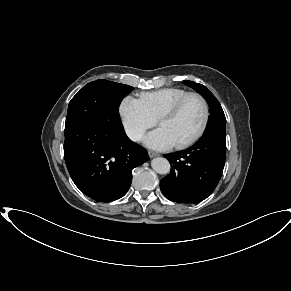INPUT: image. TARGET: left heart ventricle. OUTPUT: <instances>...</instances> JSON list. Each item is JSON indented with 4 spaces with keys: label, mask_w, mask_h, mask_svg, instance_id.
Returning a JSON list of instances; mask_svg holds the SVG:
<instances>
[{
    "label": "left heart ventricle",
    "mask_w": 291,
    "mask_h": 291,
    "mask_svg": "<svg viewBox=\"0 0 291 291\" xmlns=\"http://www.w3.org/2000/svg\"><path fill=\"white\" fill-rule=\"evenodd\" d=\"M204 118V106L197 97L189 98L179 113L171 119L160 122L159 128L165 130L175 144L184 142L199 130Z\"/></svg>",
    "instance_id": "left-heart-ventricle-1"
}]
</instances>
